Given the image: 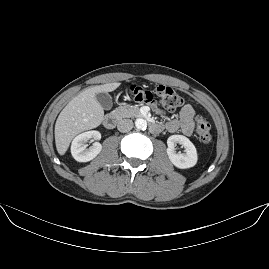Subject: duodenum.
Returning a JSON list of instances; mask_svg holds the SVG:
<instances>
[{
	"label": "duodenum",
	"mask_w": 269,
	"mask_h": 269,
	"mask_svg": "<svg viewBox=\"0 0 269 269\" xmlns=\"http://www.w3.org/2000/svg\"><path fill=\"white\" fill-rule=\"evenodd\" d=\"M139 117L146 118L147 114L145 112H138L137 113ZM103 125L106 129L112 130L116 125V118L113 115H106L103 119ZM149 130L152 133H159L162 130V126L155 122L149 123Z\"/></svg>",
	"instance_id": "obj_1"
}]
</instances>
